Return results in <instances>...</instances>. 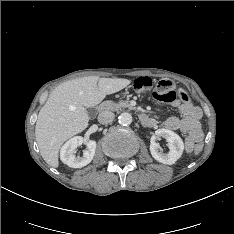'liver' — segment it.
I'll return each instance as SVG.
<instances>
[{"label": "liver", "instance_id": "6515ba94", "mask_svg": "<svg viewBox=\"0 0 234 234\" xmlns=\"http://www.w3.org/2000/svg\"><path fill=\"white\" fill-rule=\"evenodd\" d=\"M124 78L81 77L55 88L41 108L35 126V137L45 162L59 166V150L72 136L88 127L87 108L97 106L106 95L130 84Z\"/></svg>", "mask_w": 234, "mask_h": 234}]
</instances>
